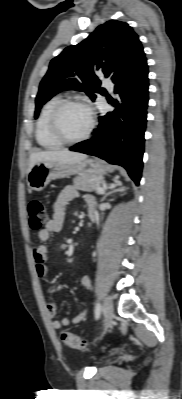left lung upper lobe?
I'll list each match as a JSON object with an SVG mask.
<instances>
[{"label":"left lung upper lobe","mask_w":182,"mask_h":399,"mask_svg":"<svg viewBox=\"0 0 182 399\" xmlns=\"http://www.w3.org/2000/svg\"><path fill=\"white\" fill-rule=\"evenodd\" d=\"M146 62L137 34L125 22L110 20L81 43L65 48L52 59L36 97L35 118L43 104L63 90L84 91L92 100L100 92L97 73L114 84L128 78Z\"/></svg>","instance_id":"5c2ea615"}]
</instances>
